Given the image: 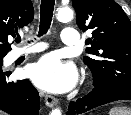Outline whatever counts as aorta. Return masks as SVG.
<instances>
[{"label": "aorta", "mask_w": 131, "mask_h": 115, "mask_svg": "<svg viewBox=\"0 0 131 115\" xmlns=\"http://www.w3.org/2000/svg\"><path fill=\"white\" fill-rule=\"evenodd\" d=\"M56 17L59 21H69L73 18V11L68 7L60 8L56 14ZM50 115H61V110L59 108H55L52 110Z\"/></svg>", "instance_id": "aorta-1"}]
</instances>
